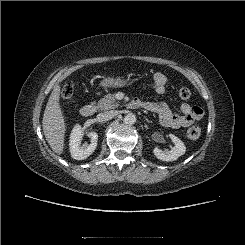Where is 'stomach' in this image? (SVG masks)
Segmentation results:
<instances>
[{
  "instance_id": "obj_1",
  "label": "stomach",
  "mask_w": 245,
  "mask_h": 245,
  "mask_svg": "<svg viewBox=\"0 0 245 245\" xmlns=\"http://www.w3.org/2000/svg\"><path fill=\"white\" fill-rule=\"evenodd\" d=\"M136 80L137 79H133L131 81H128V80L123 79V78L106 77L101 81L100 85L104 88H109V87L117 88V87H124L128 84L135 82Z\"/></svg>"
}]
</instances>
